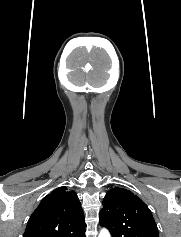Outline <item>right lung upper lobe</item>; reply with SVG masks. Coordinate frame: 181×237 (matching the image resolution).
Instances as JSON below:
<instances>
[{
  "instance_id": "cb5924a9",
  "label": "right lung upper lobe",
  "mask_w": 181,
  "mask_h": 237,
  "mask_svg": "<svg viewBox=\"0 0 181 237\" xmlns=\"http://www.w3.org/2000/svg\"><path fill=\"white\" fill-rule=\"evenodd\" d=\"M84 219L77 194L62 186L42 199L23 237H86Z\"/></svg>"
}]
</instances>
